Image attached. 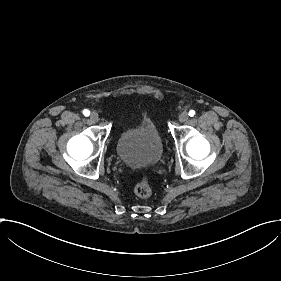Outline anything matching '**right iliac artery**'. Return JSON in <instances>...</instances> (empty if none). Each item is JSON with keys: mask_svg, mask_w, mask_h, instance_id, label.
<instances>
[{"mask_svg": "<svg viewBox=\"0 0 281 281\" xmlns=\"http://www.w3.org/2000/svg\"><path fill=\"white\" fill-rule=\"evenodd\" d=\"M84 116L88 117L90 115V111L88 109L83 110Z\"/></svg>", "mask_w": 281, "mask_h": 281, "instance_id": "1", "label": "right iliac artery"}]
</instances>
